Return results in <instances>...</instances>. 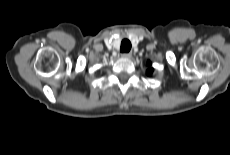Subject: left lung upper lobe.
I'll list each match as a JSON object with an SVG mask.
<instances>
[{"label": "left lung upper lobe", "instance_id": "1", "mask_svg": "<svg viewBox=\"0 0 230 155\" xmlns=\"http://www.w3.org/2000/svg\"><path fill=\"white\" fill-rule=\"evenodd\" d=\"M147 64L149 65V67H148V69H147V75H148V76H151L152 73H153V71H154V69L151 67V63H150L149 61H148Z\"/></svg>", "mask_w": 230, "mask_h": 155}]
</instances>
